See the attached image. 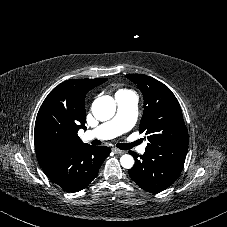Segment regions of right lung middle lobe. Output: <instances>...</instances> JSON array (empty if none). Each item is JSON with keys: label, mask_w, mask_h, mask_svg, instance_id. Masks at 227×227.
Here are the masks:
<instances>
[{"label": "right lung middle lobe", "mask_w": 227, "mask_h": 227, "mask_svg": "<svg viewBox=\"0 0 227 227\" xmlns=\"http://www.w3.org/2000/svg\"><path fill=\"white\" fill-rule=\"evenodd\" d=\"M48 134H49L51 137H60V136L63 135L62 132L57 131V130H55V129H53V128H48Z\"/></svg>", "instance_id": "1"}]
</instances>
